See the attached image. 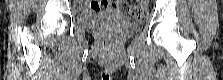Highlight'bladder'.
I'll return each instance as SVG.
<instances>
[{"label": "bladder", "mask_w": 223, "mask_h": 80, "mask_svg": "<svg viewBox=\"0 0 223 80\" xmlns=\"http://www.w3.org/2000/svg\"><path fill=\"white\" fill-rule=\"evenodd\" d=\"M106 21H117L122 27L129 30L137 28L136 25L127 24L120 14L114 12H100L79 17V24L87 28H98Z\"/></svg>", "instance_id": "1"}]
</instances>
